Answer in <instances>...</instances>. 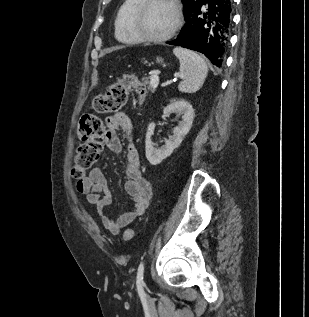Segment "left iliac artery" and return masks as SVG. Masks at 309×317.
I'll return each instance as SVG.
<instances>
[{"instance_id":"left-iliac-artery-1","label":"left iliac artery","mask_w":309,"mask_h":317,"mask_svg":"<svg viewBox=\"0 0 309 317\" xmlns=\"http://www.w3.org/2000/svg\"><path fill=\"white\" fill-rule=\"evenodd\" d=\"M143 276H144V263L141 262L138 266L137 280H136V285L139 291L142 290V286L144 285Z\"/></svg>"}]
</instances>
